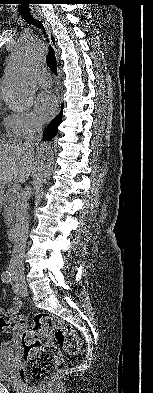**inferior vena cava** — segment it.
I'll use <instances>...</instances> for the list:
<instances>
[{"mask_svg":"<svg viewBox=\"0 0 153 393\" xmlns=\"http://www.w3.org/2000/svg\"><path fill=\"white\" fill-rule=\"evenodd\" d=\"M42 127L39 124H32L27 138L23 143L26 152L34 156L35 147L41 142ZM31 186L26 185L18 196L16 204V239L14 241L13 252L10 259L9 271L12 274H24V254L26 248V238L29 228L28 200L31 196Z\"/></svg>","mask_w":153,"mask_h":393,"instance_id":"inferior-vena-cava-1","label":"inferior vena cava"}]
</instances>
